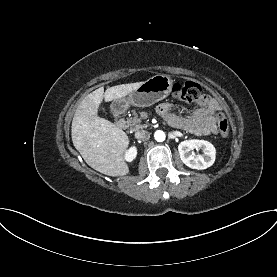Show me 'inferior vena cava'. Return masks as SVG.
I'll use <instances>...</instances> for the list:
<instances>
[{
	"mask_svg": "<svg viewBox=\"0 0 277 277\" xmlns=\"http://www.w3.org/2000/svg\"><path fill=\"white\" fill-rule=\"evenodd\" d=\"M135 137L140 141H147L150 138V133L146 130H140L135 133Z\"/></svg>",
	"mask_w": 277,
	"mask_h": 277,
	"instance_id": "602c4592",
	"label": "inferior vena cava"
}]
</instances>
